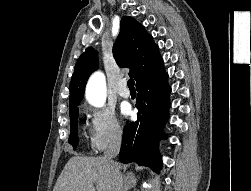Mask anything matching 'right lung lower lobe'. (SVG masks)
<instances>
[{
	"label": "right lung lower lobe",
	"instance_id": "1",
	"mask_svg": "<svg viewBox=\"0 0 251 191\" xmlns=\"http://www.w3.org/2000/svg\"><path fill=\"white\" fill-rule=\"evenodd\" d=\"M168 74L137 87V121L128 123L123 131L119 159L123 163L136 162L150 166L157 173L161 168V156L157 150L160 138H167L163 128L168 121L170 106Z\"/></svg>",
	"mask_w": 251,
	"mask_h": 191
}]
</instances>
